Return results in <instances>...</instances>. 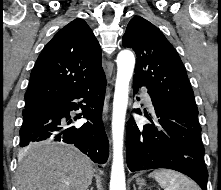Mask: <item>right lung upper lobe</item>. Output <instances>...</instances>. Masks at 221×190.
<instances>
[{
    "label": "right lung upper lobe",
    "mask_w": 221,
    "mask_h": 190,
    "mask_svg": "<svg viewBox=\"0 0 221 190\" xmlns=\"http://www.w3.org/2000/svg\"><path fill=\"white\" fill-rule=\"evenodd\" d=\"M101 48L83 19L59 30L40 53L30 75L25 109H37L104 75Z\"/></svg>",
    "instance_id": "right-lung-upper-lobe-1"
}]
</instances>
